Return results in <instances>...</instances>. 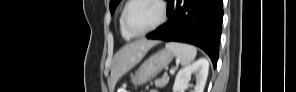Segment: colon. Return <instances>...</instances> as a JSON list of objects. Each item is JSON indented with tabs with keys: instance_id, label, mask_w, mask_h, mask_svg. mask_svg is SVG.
<instances>
[{
	"instance_id": "obj_1",
	"label": "colon",
	"mask_w": 296,
	"mask_h": 92,
	"mask_svg": "<svg viewBox=\"0 0 296 92\" xmlns=\"http://www.w3.org/2000/svg\"><path fill=\"white\" fill-rule=\"evenodd\" d=\"M120 91H121V92H126L127 90H126L125 87H122Z\"/></svg>"
}]
</instances>
